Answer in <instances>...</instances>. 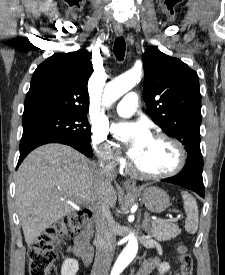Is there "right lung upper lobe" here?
<instances>
[{"label":"right lung upper lobe","mask_w":225,"mask_h":275,"mask_svg":"<svg viewBox=\"0 0 225 275\" xmlns=\"http://www.w3.org/2000/svg\"><path fill=\"white\" fill-rule=\"evenodd\" d=\"M91 53L80 49L56 53L35 70L25 98L23 116L41 112H87Z\"/></svg>","instance_id":"cb5924a9"}]
</instances>
